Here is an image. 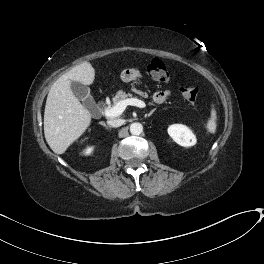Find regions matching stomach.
<instances>
[{
	"mask_svg": "<svg viewBox=\"0 0 264 264\" xmlns=\"http://www.w3.org/2000/svg\"><path fill=\"white\" fill-rule=\"evenodd\" d=\"M141 76L140 71L135 68H126L121 72L120 78L123 82L134 81Z\"/></svg>",
	"mask_w": 264,
	"mask_h": 264,
	"instance_id": "stomach-1",
	"label": "stomach"
}]
</instances>
